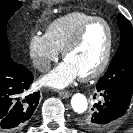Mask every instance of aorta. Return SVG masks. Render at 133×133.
<instances>
[{"mask_svg":"<svg viewBox=\"0 0 133 133\" xmlns=\"http://www.w3.org/2000/svg\"><path fill=\"white\" fill-rule=\"evenodd\" d=\"M71 106L77 114H83L88 108L86 97L81 93H76L71 98Z\"/></svg>","mask_w":133,"mask_h":133,"instance_id":"aorta-1","label":"aorta"}]
</instances>
